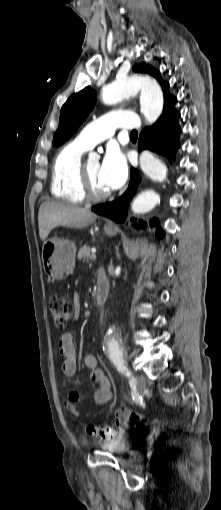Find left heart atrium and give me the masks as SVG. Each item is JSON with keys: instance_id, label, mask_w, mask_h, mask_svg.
<instances>
[{"instance_id": "obj_1", "label": "left heart atrium", "mask_w": 221, "mask_h": 510, "mask_svg": "<svg viewBox=\"0 0 221 510\" xmlns=\"http://www.w3.org/2000/svg\"><path fill=\"white\" fill-rule=\"evenodd\" d=\"M127 173L128 167L125 155L116 145H109L100 164V182L108 191H113L123 185Z\"/></svg>"}]
</instances>
